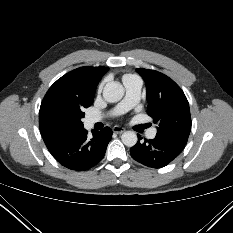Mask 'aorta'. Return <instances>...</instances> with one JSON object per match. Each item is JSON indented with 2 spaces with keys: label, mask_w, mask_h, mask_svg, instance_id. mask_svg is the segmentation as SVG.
<instances>
[{
  "label": "aorta",
  "mask_w": 233,
  "mask_h": 233,
  "mask_svg": "<svg viewBox=\"0 0 233 233\" xmlns=\"http://www.w3.org/2000/svg\"><path fill=\"white\" fill-rule=\"evenodd\" d=\"M124 96V88L119 82H109L103 89V97L107 102L115 103ZM122 142L128 147H132L137 143V135L133 131H126L121 136Z\"/></svg>",
  "instance_id": "obj_1"
}]
</instances>
